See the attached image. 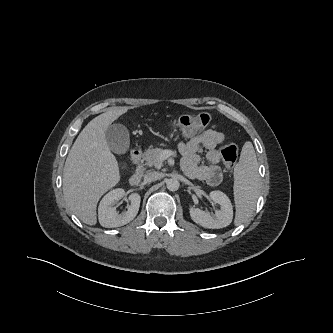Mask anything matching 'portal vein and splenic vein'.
Instances as JSON below:
<instances>
[{"label":"portal vein and splenic vein","mask_w":333,"mask_h":333,"mask_svg":"<svg viewBox=\"0 0 333 333\" xmlns=\"http://www.w3.org/2000/svg\"><path fill=\"white\" fill-rule=\"evenodd\" d=\"M166 157H167V156H166L165 153L161 154V158H162V159H165Z\"/></svg>","instance_id":"obj_1"}]
</instances>
